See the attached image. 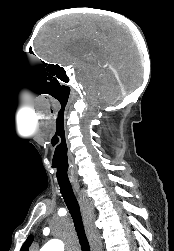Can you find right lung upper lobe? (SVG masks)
<instances>
[{
	"label": "right lung upper lobe",
	"mask_w": 174,
	"mask_h": 251,
	"mask_svg": "<svg viewBox=\"0 0 174 251\" xmlns=\"http://www.w3.org/2000/svg\"><path fill=\"white\" fill-rule=\"evenodd\" d=\"M32 241H33V236H29L25 241V243L23 244L21 251H28Z\"/></svg>",
	"instance_id": "obj_1"
}]
</instances>
